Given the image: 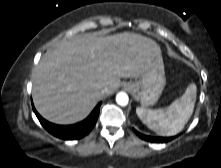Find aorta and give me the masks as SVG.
Returning <instances> with one entry per match:
<instances>
[{
	"label": "aorta",
	"mask_w": 221,
	"mask_h": 168,
	"mask_svg": "<svg viewBox=\"0 0 221 168\" xmlns=\"http://www.w3.org/2000/svg\"><path fill=\"white\" fill-rule=\"evenodd\" d=\"M129 98L125 92H119L116 95V102L120 106H126L128 104Z\"/></svg>",
	"instance_id": "obj_1"
}]
</instances>
